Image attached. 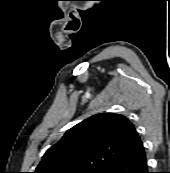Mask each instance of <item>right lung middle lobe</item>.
<instances>
[{
	"label": "right lung middle lobe",
	"instance_id": "right-lung-middle-lobe-1",
	"mask_svg": "<svg viewBox=\"0 0 170 173\" xmlns=\"http://www.w3.org/2000/svg\"><path fill=\"white\" fill-rule=\"evenodd\" d=\"M103 171L93 170V171H74V173H102Z\"/></svg>",
	"mask_w": 170,
	"mask_h": 173
}]
</instances>
